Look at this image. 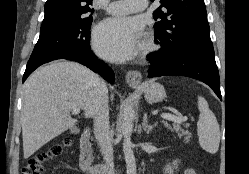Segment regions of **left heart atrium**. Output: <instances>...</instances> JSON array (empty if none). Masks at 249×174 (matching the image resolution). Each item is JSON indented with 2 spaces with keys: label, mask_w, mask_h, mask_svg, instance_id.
<instances>
[{
  "label": "left heart atrium",
  "mask_w": 249,
  "mask_h": 174,
  "mask_svg": "<svg viewBox=\"0 0 249 174\" xmlns=\"http://www.w3.org/2000/svg\"><path fill=\"white\" fill-rule=\"evenodd\" d=\"M142 24L133 17H114L103 21L95 30L93 44L104 58L121 62L133 58L139 50Z\"/></svg>",
  "instance_id": "39dd6f15"
}]
</instances>
